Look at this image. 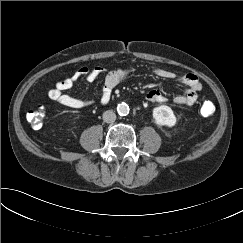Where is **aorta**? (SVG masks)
Segmentation results:
<instances>
[{"instance_id": "762f6f07", "label": "aorta", "mask_w": 243, "mask_h": 243, "mask_svg": "<svg viewBox=\"0 0 243 243\" xmlns=\"http://www.w3.org/2000/svg\"><path fill=\"white\" fill-rule=\"evenodd\" d=\"M129 110H130L129 106L126 103H124V102L118 104V106H117V112L121 116L127 115L129 113Z\"/></svg>"}]
</instances>
